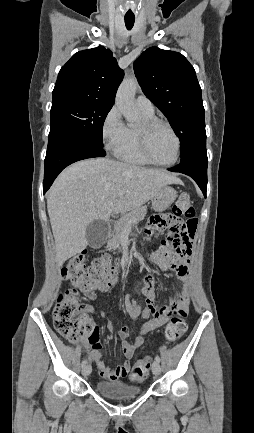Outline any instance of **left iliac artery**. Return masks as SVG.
I'll return each instance as SVG.
<instances>
[{
    "label": "left iliac artery",
    "mask_w": 254,
    "mask_h": 433,
    "mask_svg": "<svg viewBox=\"0 0 254 433\" xmlns=\"http://www.w3.org/2000/svg\"><path fill=\"white\" fill-rule=\"evenodd\" d=\"M155 360H156L157 362H160V361H161V359H160V357H159L158 355L155 357Z\"/></svg>",
    "instance_id": "44dca946"
}]
</instances>
